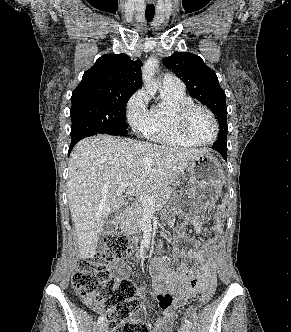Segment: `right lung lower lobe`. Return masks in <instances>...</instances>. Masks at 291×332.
<instances>
[{
  "label": "right lung lower lobe",
  "instance_id": "1",
  "mask_svg": "<svg viewBox=\"0 0 291 332\" xmlns=\"http://www.w3.org/2000/svg\"><path fill=\"white\" fill-rule=\"evenodd\" d=\"M98 132L93 122L85 121L71 127V145L69 153L74 145L82 138L96 134Z\"/></svg>",
  "mask_w": 291,
  "mask_h": 332
}]
</instances>
